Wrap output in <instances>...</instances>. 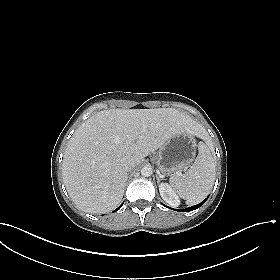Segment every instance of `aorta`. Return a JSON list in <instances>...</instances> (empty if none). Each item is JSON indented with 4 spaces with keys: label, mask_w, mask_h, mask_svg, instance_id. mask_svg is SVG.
<instances>
[{
    "label": "aorta",
    "mask_w": 280,
    "mask_h": 280,
    "mask_svg": "<svg viewBox=\"0 0 280 280\" xmlns=\"http://www.w3.org/2000/svg\"><path fill=\"white\" fill-rule=\"evenodd\" d=\"M152 174V168L149 166H145L141 169V175L144 177H149Z\"/></svg>",
    "instance_id": "aorta-1"
}]
</instances>
